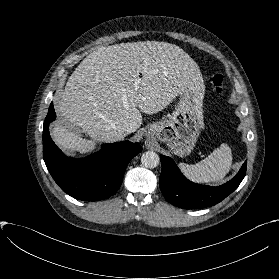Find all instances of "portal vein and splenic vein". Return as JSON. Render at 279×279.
Returning a JSON list of instances; mask_svg holds the SVG:
<instances>
[{
  "instance_id": "18ae733b",
  "label": "portal vein and splenic vein",
  "mask_w": 279,
  "mask_h": 279,
  "mask_svg": "<svg viewBox=\"0 0 279 279\" xmlns=\"http://www.w3.org/2000/svg\"><path fill=\"white\" fill-rule=\"evenodd\" d=\"M138 83H140V78L136 79L135 84L137 85ZM137 87V86H136Z\"/></svg>"
}]
</instances>
